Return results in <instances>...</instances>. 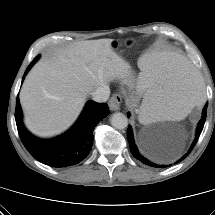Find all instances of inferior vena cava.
<instances>
[{
  "label": "inferior vena cava",
  "instance_id": "602c4592",
  "mask_svg": "<svg viewBox=\"0 0 215 215\" xmlns=\"http://www.w3.org/2000/svg\"><path fill=\"white\" fill-rule=\"evenodd\" d=\"M91 96L96 102H106L110 96V89L107 85L100 86L91 93Z\"/></svg>",
  "mask_w": 215,
  "mask_h": 215
}]
</instances>
